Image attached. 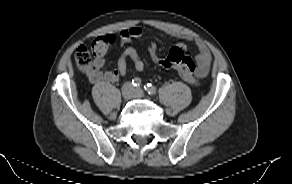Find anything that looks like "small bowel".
I'll list each match as a JSON object with an SVG mask.
<instances>
[{
	"label": "small bowel",
	"instance_id": "1",
	"mask_svg": "<svg viewBox=\"0 0 292 184\" xmlns=\"http://www.w3.org/2000/svg\"><path fill=\"white\" fill-rule=\"evenodd\" d=\"M143 34L141 27L133 26L122 30L119 33L120 42L122 45L129 44L133 39L140 38ZM177 47L184 49V44H178ZM198 53L196 55L197 69L196 76L198 78L205 77L211 65V54L207 46L200 41L196 42ZM132 60L136 70L143 71L144 63L141 60L138 52L133 47H127L123 50L117 61V68L113 71H102L105 64L103 56L95 58L93 67L87 71L88 79L93 84L99 83H115L121 80L127 72L128 60Z\"/></svg>",
	"mask_w": 292,
	"mask_h": 184
}]
</instances>
